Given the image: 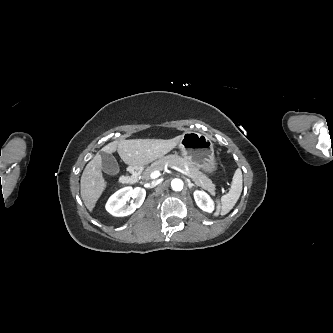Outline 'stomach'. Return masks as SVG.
<instances>
[{"label":"stomach","instance_id":"0dacf381","mask_svg":"<svg viewBox=\"0 0 333 333\" xmlns=\"http://www.w3.org/2000/svg\"><path fill=\"white\" fill-rule=\"evenodd\" d=\"M179 148L182 156L198 169L208 174L217 170L213 143L207 135L197 132L184 133L179 141Z\"/></svg>","mask_w":333,"mask_h":333}]
</instances>
